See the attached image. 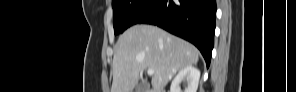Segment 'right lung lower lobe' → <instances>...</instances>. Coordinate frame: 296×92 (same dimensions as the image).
I'll return each mask as SVG.
<instances>
[{
	"label": "right lung lower lobe",
	"instance_id": "1",
	"mask_svg": "<svg viewBox=\"0 0 296 92\" xmlns=\"http://www.w3.org/2000/svg\"><path fill=\"white\" fill-rule=\"evenodd\" d=\"M215 0H160L138 23L157 25L193 43L207 67L214 45Z\"/></svg>",
	"mask_w": 296,
	"mask_h": 92
}]
</instances>
